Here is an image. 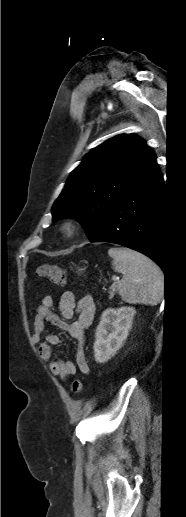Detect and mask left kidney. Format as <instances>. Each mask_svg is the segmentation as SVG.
<instances>
[{"instance_id": "1", "label": "left kidney", "mask_w": 186, "mask_h": 517, "mask_svg": "<svg viewBox=\"0 0 186 517\" xmlns=\"http://www.w3.org/2000/svg\"><path fill=\"white\" fill-rule=\"evenodd\" d=\"M136 310L123 306L106 309L95 333L94 357L97 363L107 362L122 347L131 329Z\"/></svg>"}]
</instances>
